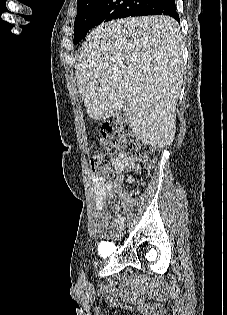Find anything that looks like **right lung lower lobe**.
<instances>
[{
  "instance_id": "right-lung-lower-lobe-1",
  "label": "right lung lower lobe",
  "mask_w": 227,
  "mask_h": 315,
  "mask_svg": "<svg viewBox=\"0 0 227 315\" xmlns=\"http://www.w3.org/2000/svg\"><path fill=\"white\" fill-rule=\"evenodd\" d=\"M147 15H168L179 21L175 0H152L143 9L136 10L131 17Z\"/></svg>"
}]
</instances>
